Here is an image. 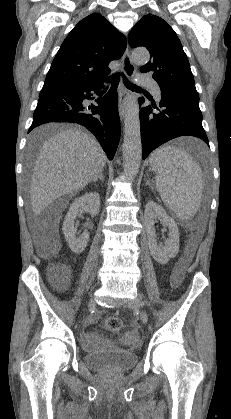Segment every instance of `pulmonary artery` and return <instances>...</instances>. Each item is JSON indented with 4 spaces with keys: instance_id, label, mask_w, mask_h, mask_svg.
Returning <instances> with one entry per match:
<instances>
[{
    "instance_id": "pulmonary-artery-1",
    "label": "pulmonary artery",
    "mask_w": 231,
    "mask_h": 419,
    "mask_svg": "<svg viewBox=\"0 0 231 419\" xmlns=\"http://www.w3.org/2000/svg\"><path fill=\"white\" fill-rule=\"evenodd\" d=\"M140 83L152 90L153 95L157 101L161 100V90L158 83L154 79L148 76H142L140 78Z\"/></svg>"
}]
</instances>
